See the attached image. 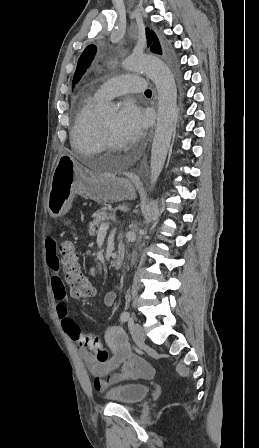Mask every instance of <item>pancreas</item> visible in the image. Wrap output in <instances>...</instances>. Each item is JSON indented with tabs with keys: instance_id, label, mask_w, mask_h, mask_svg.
I'll return each mask as SVG.
<instances>
[{
	"instance_id": "obj_1",
	"label": "pancreas",
	"mask_w": 259,
	"mask_h": 448,
	"mask_svg": "<svg viewBox=\"0 0 259 448\" xmlns=\"http://www.w3.org/2000/svg\"><path fill=\"white\" fill-rule=\"evenodd\" d=\"M106 210H109V212H106ZM111 212H114L113 208H102V210H98V212H95L94 216H92L94 220L89 224L90 236H95V232H97L96 228H99V224H101V222H104V220H109V218H111Z\"/></svg>"
}]
</instances>
